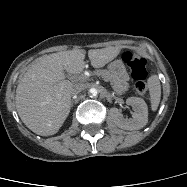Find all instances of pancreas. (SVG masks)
<instances>
[{"label": "pancreas", "instance_id": "obj_1", "mask_svg": "<svg viewBox=\"0 0 187 187\" xmlns=\"http://www.w3.org/2000/svg\"><path fill=\"white\" fill-rule=\"evenodd\" d=\"M95 75L101 76L103 78H106L108 81L111 82L112 88L114 91L121 95L125 91L128 90V84L126 82H123L119 79L114 78L108 71L106 70H97L94 72Z\"/></svg>", "mask_w": 187, "mask_h": 187}]
</instances>
